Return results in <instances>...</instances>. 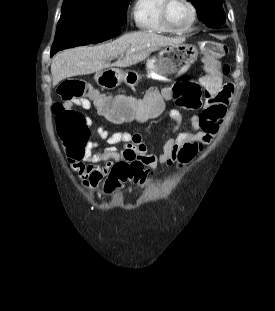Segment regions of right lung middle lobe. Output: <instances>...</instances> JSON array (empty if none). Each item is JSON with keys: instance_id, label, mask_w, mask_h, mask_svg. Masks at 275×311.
Instances as JSON below:
<instances>
[{"instance_id": "right-lung-middle-lobe-1", "label": "right lung middle lobe", "mask_w": 275, "mask_h": 311, "mask_svg": "<svg viewBox=\"0 0 275 311\" xmlns=\"http://www.w3.org/2000/svg\"><path fill=\"white\" fill-rule=\"evenodd\" d=\"M130 0H64L51 56L60 50L98 43L124 23Z\"/></svg>"}]
</instances>
